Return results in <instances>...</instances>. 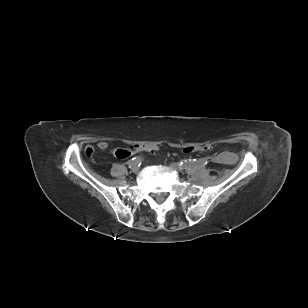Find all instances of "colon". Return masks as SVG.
Masks as SVG:
<instances>
[{
  "label": "colon",
  "mask_w": 308,
  "mask_h": 308,
  "mask_svg": "<svg viewBox=\"0 0 308 308\" xmlns=\"http://www.w3.org/2000/svg\"><path fill=\"white\" fill-rule=\"evenodd\" d=\"M212 149L211 145H204V146H189L184 148L183 152L185 154H192V153H198V152H207L210 151ZM157 146L156 145H147L144 143H138L133 145H130L128 148H116L115 149V156L118 157L119 160H126L127 157H133V156H137L140 154H149V155H153L157 153ZM86 154L88 156L93 154V149L92 148H87L86 149Z\"/></svg>",
  "instance_id": "1"
}]
</instances>
